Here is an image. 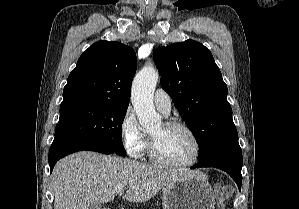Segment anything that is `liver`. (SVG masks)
<instances>
[{"label":"liver","instance_id":"6515ba94","mask_svg":"<svg viewBox=\"0 0 299 209\" xmlns=\"http://www.w3.org/2000/svg\"><path fill=\"white\" fill-rule=\"evenodd\" d=\"M190 173L184 170H165L95 152L74 153L60 160L54 167V209H88L93 203L109 202L119 186H127L124 199L144 202Z\"/></svg>","mask_w":299,"mask_h":209}]
</instances>
